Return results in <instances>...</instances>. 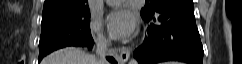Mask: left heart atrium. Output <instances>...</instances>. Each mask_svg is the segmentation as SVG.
Listing matches in <instances>:
<instances>
[{"label":"left heart atrium","instance_id":"39dd6f15","mask_svg":"<svg viewBox=\"0 0 242 64\" xmlns=\"http://www.w3.org/2000/svg\"><path fill=\"white\" fill-rule=\"evenodd\" d=\"M136 27V17L128 9H119L108 17V29L113 38L122 39L131 36Z\"/></svg>","mask_w":242,"mask_h":64}]
</instances>
